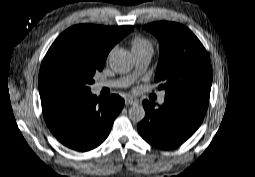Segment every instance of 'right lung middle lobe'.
<instances>
[{
    "mask_svg": "<svg viewBox=\"0 0 255 177\" xmlns=\"http://www.w3.org/2000/svg\"><path fill=\"white\" fill-rule=\"evenodd\" d=\"M130 26L128 32L132 31ZM105 59L91 49L70 40H56L43 59L39 72L40 97L79 94L90 91L95 72Z\"/></svg>",
    "mask_w": 255,
    "mask_h": 177,
    "instance_id": "obj_1",
    "label": "right lung middle lobe"
}]
</instances>
